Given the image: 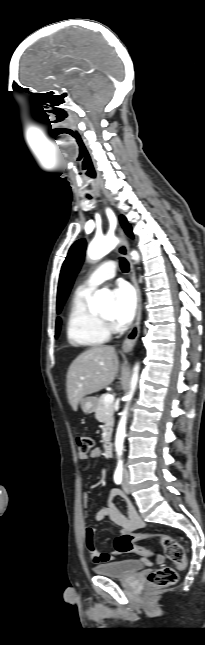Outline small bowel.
Wrapping results in <instances>:
<instances>
[{
    "label": "small bowel",
    "instance_id": "small-bowel-1",
    "mask_svg": "<svg viewBox=\"0 0 205 645\" xmlns=\"http://www.w3.org/2000/svg\"><path fill=\"white\" fill-rule=\"evenodd\" d=\"M101 455V450L95 447L89 453H79L78 459L80 461H86L89 458H100ZM115 497H121L125 502L126 514H124L114 504L113 499ZM82 500L85 510H88L92 505L98 502L97 499H95L88 493L83 494ZM106 518L110 519L116 526L121 529V535H134L132 532L144 527V522L138 515V512L136 511L132 502L118 488H113L110 490L106 499V505L100 508L95 514V521L97 523L103 521ZM93 535L94 529L92 527H86L84 532V541L92 563L100 564L114 561L120 553H118L115 549L110 553L98 551L94 544ZM142 561L147 565L151 563L149 557H143ZM158 561H162V557H158Z\"/></svg>",
    "mask_w": 205,
    "mask_h": 645
}]
</instances>
